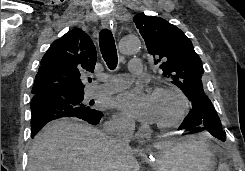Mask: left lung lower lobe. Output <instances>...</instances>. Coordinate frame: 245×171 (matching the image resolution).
<instances>
[{
    "label": "left lung lower lobe",
    "mask_w": 245,
    "mask_h": 171,
    "mask_svg": "<svg viewBox=\"0 0 245 171\" xmlns=\"http://www.w3.org/2000/svg\"><path fill=\"white\" fill-rule=\"evenodd\" d=\"M190 101L192 110L185 117L178 130H185L190 133L209 130L211 135L221 141H225L226 136L222 130L220 118L206 94L199 93Z\"/></svg>",
    "instance_id": "left-lung-lower-lobe-1"
}]
</instances>
